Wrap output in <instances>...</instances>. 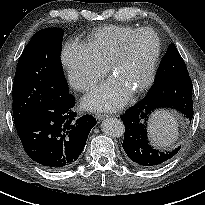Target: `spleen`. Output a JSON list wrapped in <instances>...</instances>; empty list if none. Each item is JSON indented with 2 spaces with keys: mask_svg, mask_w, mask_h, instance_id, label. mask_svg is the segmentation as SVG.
Wrapping results in <instances>:
<instances>
[{
  "mask_svg": "<svg viewBox=\"0 0 205 205\" xmlns=\"http://www.w3.org/2000/svg\"><path fill=\"white\" fill-rule=\"evenodd\" d=\"M152 140L161 147L169 146L178 138V122L174 114L166 111L155 112L149 121Z\"/></svg>",
  "mask_w": 205,
  "mask_h": 205,
  "instance_id": "spleen-1",
  "label": "spleen"
}]
</instances>
